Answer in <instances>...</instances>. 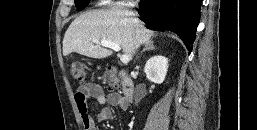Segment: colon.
I'll use <instances>...</instances> for the list:
<instances>
[{"label":"colon","instance_id":"5ec220e1","mask_svg":"<svg viewBox=\"0 0 257 130\" xmlns=\"http://www.w3.org/2000/svg\"><path fill=\"white\" fill-rule=\"evenodd\" d=\"M70 75L74 80L79 82H83L86 79V71L83 65L80 63L72 64L70 68ZM104 78L110 89L118 90V91L121 90L123 81L119 73L113 70H109L105 74Z\"/></svg>","mask_w":257,"mask_h":130}]
</instances>
